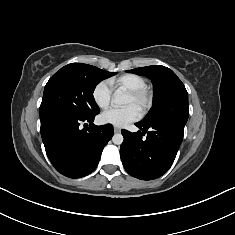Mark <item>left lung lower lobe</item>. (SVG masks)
I'll list each match as a JSON object with an SVG mask.
<instances>
[{"label":"left lung lower lobe","instance_id":"left-lung-lower-lobe-1","mask_svg":"<svg viewBox=\"0 0 235 235\" xmlns=\"http://www.w3.org/2000/svg\"><path fill=\"white\" fill-rule=\"evenodd\" d=\"M140 130H122L124 141L120 155L125 170L141 180H153L166 173L173 164L183 139L185 123L160 120L136 123ZM147 134L146 138L143 136Z\"/></svg>","mask_w":235,"mask_h":235}]
</instances>
